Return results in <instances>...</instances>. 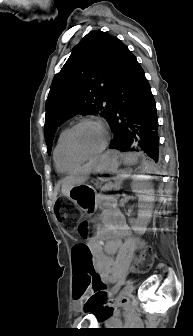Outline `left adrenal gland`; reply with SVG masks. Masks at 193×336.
<instances>
[{"label": "left adrenal gland", "mask_w": 193, "mask_h": 336, "mask_svg": "<svg viewBox=\"0 0 193 336\" xmlns=\"http://www.w3.org/2000/svg\"><path fill=\"white\" fill-rule=\"evenodd\" d=\"M127 177H128V175H127L125 172H121V173L118 175V178H119L118 183H119V185H120V183H122V181H123L124 179H126Z\"/></svg>", "instance_id": "obj_1"}]
</instances>
